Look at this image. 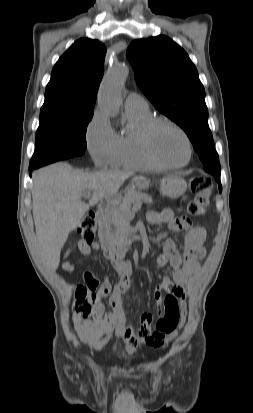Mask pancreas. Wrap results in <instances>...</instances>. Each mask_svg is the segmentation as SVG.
Here are the masks:
<instances>
[{
    "label": "pancreas",
    "mask_w": 253,
    "mask_h": 413,
    "mask_svg": "<svg viewBox=\"0 0 253 413\" xmlns=\"http://www.w3.org/2000/svg\"><path fill=\"white\" fill-rule=\"evenodd\" d=\"M143 202L151 204L152 198L141 192H134L123 198L122 204L112 210L105 211L104 220L114 228L116 242L121 247L130 246L133 242V232L130 221L133 218L131 206L140 207Z\"/></svg>",
    "instance_id": "pancreas-1"
}]
</instances>
